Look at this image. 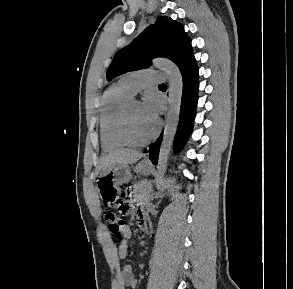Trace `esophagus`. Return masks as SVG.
<instances>
[{
  "label": "esophagus",
  "instance_id": "1",
  "mask_svg": "<svg viewBox=\"0 0 293 289\" xmlns=\"http://www.w3.org/2000/svg\"><path fill=\"white\" fill-rule=\"evenodd\" d=\"M144 160H145V161H149V159H148V158H145Z\"/></svg>",
  "mask_w": 293,
  "mask_h": 289
}]
</instances>
